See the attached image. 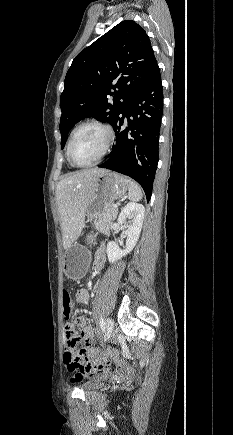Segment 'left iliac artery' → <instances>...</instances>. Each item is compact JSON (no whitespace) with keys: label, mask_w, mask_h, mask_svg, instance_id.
<instances>
[{"label":"left iliac artery","mask_w":233,"mask_h":435,"mask_svg":"<svg viewBox=\"0 0 233 435\" xmlns=\"http://www.w3.org/2000/svg\"><path fill=\"white\" fill-rule=\"evenodd\" d=\"M99 325H100V328H101L102 332H104V330H105V321H104V319L102 317H100Z\"/></svg>","instance_id":"44dca946"}]
</instances>
